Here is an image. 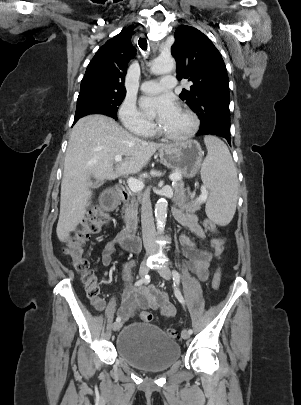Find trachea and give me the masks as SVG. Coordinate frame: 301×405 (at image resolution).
Returning <instances> with one entry per match:
<instances>
[{
  "label": "trachea",
  "mask_w": 301,
  "mask_h": 405,
  "mask_svg": "<svg viewBox=\"0 0 301 405\" xmlns=\"http://www.w3.org/2000/svg\"><path fill=\"white\" fill-rule=\"evenodd\" d=\"M138 44H139V47H140L142 50H144V51L147 50L148 43H147L146 38H140L139 41H138Z\"/></svg>",
  "instance_id": "3493384b"
}]
</instances>
